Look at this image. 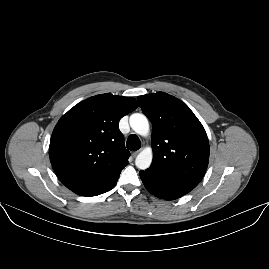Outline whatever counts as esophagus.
Here are the masks:
<instances>
[{"label":"esophagus","instance_id":"esophagus-1","mask_svg":"<svg viewBox=\"0 0 269 269\" xmlns=\"http://www.w3.org/2000/svg\"><path fill=\"white\" fill-rule=\"evenodd\" d=\"M140 150L134 151L131 153V156L135 158L139 154Z\"/></svg>","mask_w":269,"mask_h":269}]
</instances>
